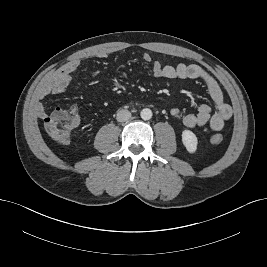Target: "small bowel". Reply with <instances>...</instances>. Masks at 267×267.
<instances>
[{
  "mask_svg": "<svg viewBox=\"0 0 267 267\" xmlns=\"http://www.w3.org/2000/svg\"><path fill=\"white\" fill-rule=\"evenodd\" d=\"M99 58H105V53H99ZM144 66H151V74L156 78L166 79H191L202 80L207 88L208 94L213 101L215 111L207 104H202L196 113H189L183 116V123L186 127L194 128L207 125L214 131L223 128L225 122L232 116L230 105L224 100L223 93L217 81L202 67L191 64H178L176 66L163 65L159 61H152L151 56L145 53L142 56ZM80 67L77 60L67 63L62 69L58 70L55 75L47 82L41 90L40 96L60 95L66 92L70 81L75 76ZM95 74V73H94ZM77 113V106L73 105L70 109ZM36 114L39 118L45 119L47 111L45 107L39 103L36 107ZM173 118H179L182 115L181 109L173 107L170 111Z\"/></svg>",
  "mask_w": 267,
  "mask_h": 267,
  "instance_id": "small-bowel-1",
  "label": "small bowel"
}]
</instances>
